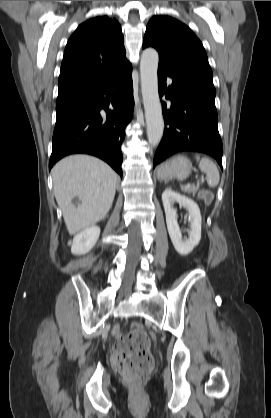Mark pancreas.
Returning a JSON list of instances; mask_svg holds the SVG:
<instances>
[{"label": "pancreas", "instance_id": "pancreas-1", "mask_svg": "<svg viewBox=\"0 0 271 418\" xmlns=\"http://www.w3.org/2000/svg\"><path fill=\"white\" fill-rule=\"evenodd\" d=\"M184 190L188 193H192L193 195H195L196 192L199 190V185L192 186V187H189V188H185Z\"/></svg>", "mask_w": 271, "mask_h": 418}]
</instances>
